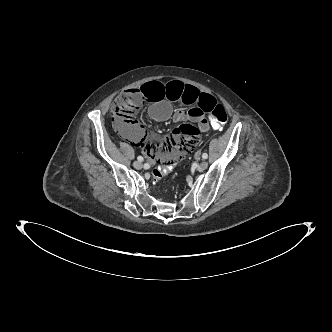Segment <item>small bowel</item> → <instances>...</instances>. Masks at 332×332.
Segmentation results:
<instances>
[{
  "mask_svg": "<svg viewBox=\"0 0 332 332\" xmlns=\"http://www.w3.org/2000/svg\"><path fill=\"white\" fill-rule=\"evenodd\" d=\"M141 97L150 104L148 113L156 121L172 119L184 123L174 129L172 136L161 140L154 135H148L143 126L136 124L130 131L119 130L120 134L140 147L151 163H167L171 158L178 161L188 156L200 140L201 133L209 130V122L205 118L216 103V99L201 92L192 85L179 80L161 83L156 79H147L140 86ZM181 102L185 109L173 110L172 103ZM198 157V155H197Z\"/></svg>",
  "mask_w": 332,
  "mask_h": 332,
  "instance_id": "c3829d8e",
  "label": "small bowel"
}]
</instances>
